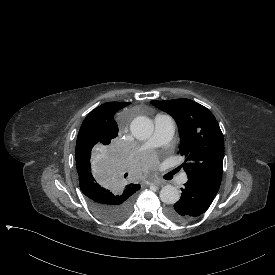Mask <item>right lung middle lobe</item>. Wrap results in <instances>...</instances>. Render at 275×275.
I'll return each mask as SVG.
<instances>
[{
	"instance_id": "dd1d6c3e",
	"label": "right lung middle lobe",
	"mask_w": 275,
	"mask_h": 275,
	"mask_svg": "<svg viewBox=\"0 0 275 275\" xmlns=\"http://www.w3.org/2000/svg\"><path fill=\"white\" fill-rule=\"evenodd\" d=\"M76 167L80 190L97 214L111 221H121L129 215L134 192L122 191L105 146L81 130L76 143Z\"/></svg>"
}]
</instances>
